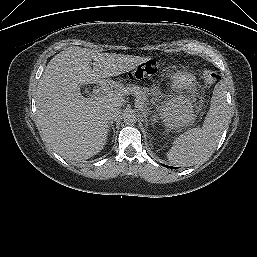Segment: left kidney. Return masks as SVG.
Returning <instances> with one entry per match:
<instances>
[{
	"mask_svg": "<svg viewBox=\"0 0 257 257\" xmlns=\"http://www.w3.org/2000/svg\"><path fill=\"white\" fill-rule=\"evenodd\" d=\"M160 116L168 128H180L194 119L191 105L184 97H176L159 108Z\"/></svg>",
	"mask_w": 257,
	"mask_h": 257,
	"instance_id": "obj_1",
	"label": "left kidney"
}]
</instances>
